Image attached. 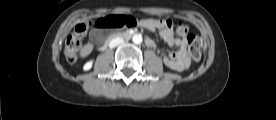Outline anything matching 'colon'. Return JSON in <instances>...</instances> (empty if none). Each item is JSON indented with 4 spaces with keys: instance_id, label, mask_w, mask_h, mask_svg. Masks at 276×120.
I'll return each instance as SVG.
<instances>
[{
    "instance_id": "1",
    "label": "colon",
    "mask_w": 276,
    "mask_h": 120,
    "mask_svg": "<svg viewBox=\"0 0 276 120\" xmlns=\"http://www.w3.org/2000/svg\"><path fill=\"white\" fill-rule=\"evenodd\" d=\"M165 24L172 25L170 20H165ZM91 25L90 21L81 22L76 25L74 32L68 36L65 43V57L69 62H74L77 59L80 49L81 36L86 32ZM142 25V18L139 15H122L121 13H113L111 16L100 18L95 22L99 34V41L103 38V30L109 28L136 29ZM177 34L185 38L188 43V51L192 58L198 60L202 54L203 42L200 37L190 34L186 24L178 22L176 26Z\"/></svg>"
}]
</instances>
